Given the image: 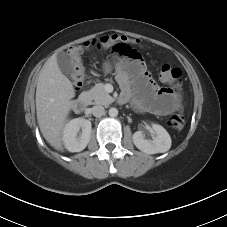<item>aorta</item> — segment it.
Returning a JSON list of instances; mask_svg holds the SVG:
<instances>
[{
  "label": "aorta",
  "instance_id": "762f6f07",
  "mask_svg": "<svg viewBox=\"0 0 227 227\" xmlns=\"http://www.w3.org/2000/svg\"><path fill=\"white\" fill-rule=\"evenodd\" d=\"M118 115V110L116 108H110L109 109V116L110 117H116Z\"/></svg>",
  "mask_w": 227,
  "mask_h": 227
}]
</instances>
